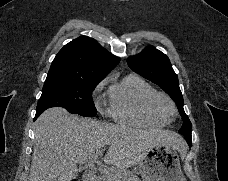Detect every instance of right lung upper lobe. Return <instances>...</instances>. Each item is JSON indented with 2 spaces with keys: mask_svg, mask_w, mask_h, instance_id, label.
<instances>
[{
  "mask_svg": "<svg viewBox=\"0 0 228 181\" xmlns=\"http://www.w3.org/2000/svg\"><path fill=\"white\" fill-rule=\"evenodd\" d=\"M120 61L94 39L79 37L66 44L52 62L46 79L79 82L102 80Z\"/></svg>",
  "mask_w": 228,
  "mask_h": 181,
  "instance_id": "right-lung-upper-lobe-1",
  "label": "right lung upper lobe"
}]
</instances>
